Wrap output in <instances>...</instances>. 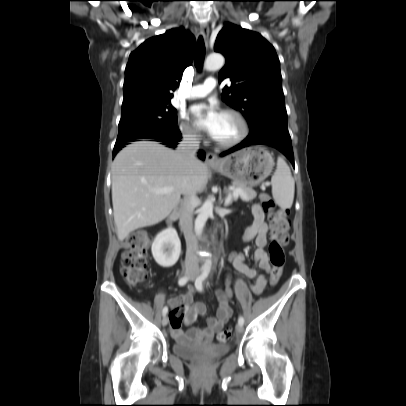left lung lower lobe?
I'll return each instance as SVG.
<instances>
[{
  "label": "left lung lower lobe",
  "mask_w": 406,
  "mask_h": 406,
  "mask_svg": "<svg viewBox=\"0 0 406 406\" xmlns=\"http://www.w3.org/2000/svg\"><path fill=\"white\" fill-rule=\"evenodd\" d=\"M250 145H269L276 148L277 150L281 151L294 166V156L290 135L287 132L278 130H262L256 133H250L244 141L223 152L221 156H225Z\"/></svg>",
  "instance_id": "obj_1"
}]
</instances>
